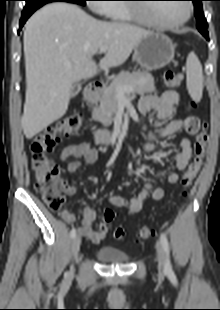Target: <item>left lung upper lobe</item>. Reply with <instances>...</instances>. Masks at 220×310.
I'll use <instances>...</instances> for the list:
<instances>
[{"mask_svg":"<svg viewBox=\"0 0 220 310\" xmlns=\"http://www.w3.org/2000/svg\"><path fill=\"white\" fill-rule=\"evenodd\" d=\"M195 8V16L197 19V28L202 35L208 34L207 31V21L205 19L201 1L203 0H192Z\"/></svg>","mask_w":220,"mask_h":310,"instance_id":"left-lung-upper-lobe-1","label":"left lung upper lobe"}]
</instances>
